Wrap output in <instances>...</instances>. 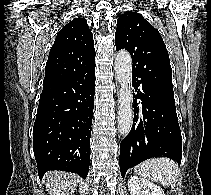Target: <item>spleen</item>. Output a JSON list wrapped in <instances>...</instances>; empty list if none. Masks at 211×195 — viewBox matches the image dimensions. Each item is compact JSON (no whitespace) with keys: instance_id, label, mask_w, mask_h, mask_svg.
Here are the masks:
<instances>
[{"instance_id":"1","label":"spleen","mask_w":211,"mask_h":195,"mask_svg":"<svg viewBox=\"0 0 211 195\" xmlns=\"http://www.w3.org/2000/svg\"><path fill=\"white\" fill-rule=\"evenodd\" d=\"M134 171L144 177L163 185L173 184L178 177V165L169 158H153L137 166Z\"/></svg>"}]
</instances>
